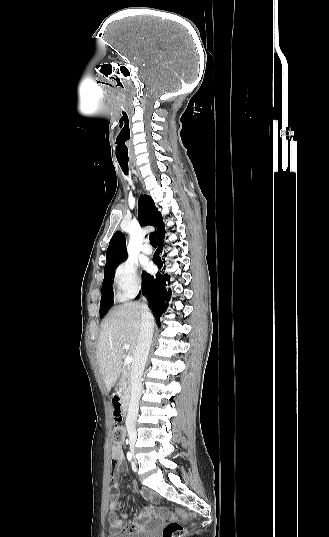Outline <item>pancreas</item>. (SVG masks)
I'll list each match as a JSON object with an SVG mask.
<instances>
[{
    "label": "pancreas",
    "mask_w": 329,
    "mask_h": 537,
    "mask_svg": "<svg viewBox=\"0 0 329 537\" xmlns=\"http://www.w3.org/2000/svg\"><path fill=\"white\" fill-rule=\"evenodd\" d=\"M118 389H119L118 392L121 393L124 398L129 399L131 386H130L129 376L127 373H123L118 383Z\"/></svg>",
    "instance_id": "pancreas-1"
}]
</instances>
